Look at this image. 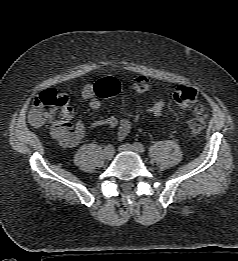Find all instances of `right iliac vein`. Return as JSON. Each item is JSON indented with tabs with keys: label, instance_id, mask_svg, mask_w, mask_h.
<instances>
[{
	"label": "right iliac vein",
	"instance_id": "right-iliac-vein-1",
	"mask_svg": "<svg viewBox=\"0 0 238 261\" xmlns=\"http://www.w3.org/2000/svg\"><path fill=\"white\" fill-rule=\"evenodd\" d=\"M105 158L107 159V160H111L112 158H113V156H114V150H112V152H107L106 151V149H105Z\"/></svg>",
	"mask_w": 238,
	"mask_h": 261
}]
</instances>
